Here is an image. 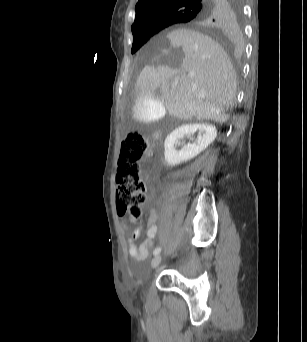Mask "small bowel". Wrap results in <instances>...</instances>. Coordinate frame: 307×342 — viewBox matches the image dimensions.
<instances>
[{
  "label": "small bowel",
  "mask_w": 307,
  "mask_h": 342,
  "mask_svg": "<svg viewBox=\"0 0 307 342\" xmlns=\"http://www.w3.org/2000/svg\"><path fill=\"white\" fill-rule=\"evenodd\" d=\"M157 219L158 215L156 210L151 209L148 218L149 225L146 229L147 238L139 246L136 245V241L140 236L141 227L137 228L129 235L127 239L128 252L135 261H143L149 255L153 247V239L157 234Z\"/></svg>",
  "instance_id": "1"
}]
</instances>
